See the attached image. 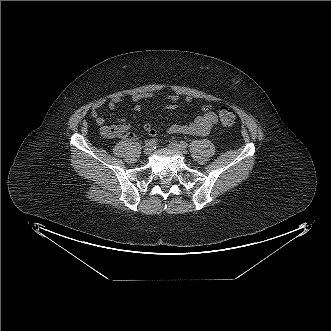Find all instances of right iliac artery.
Masks as SVG:
<instances>
[{"label":"right iliac artery","mask_w":331,"mask_h":331,"mask_svg":"<svg viewBox=\"0 0 331 331\" xmlns=\"http://www.w3.org/2000/svg\"><path fill=\"white\" fill-rule=\"evenodd\" d=\"M157 140H150L145 142V147L155 145Z\"/></svg>","instance_id":"right-iliac-artery-1"}]
</instances>
